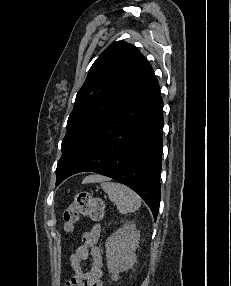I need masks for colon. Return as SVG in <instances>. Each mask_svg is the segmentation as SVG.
Instances as JSON below:
<instances>
[{
	"label": "colon",
	"instance_id": "colon-1",
	"mask_svg": "<svg viewBox=\"0 0 231 286\" xmlns=\"http://www.w3.org/2000/svg\"><path fill=\"white\" fill-rule=\"evenodd\" d=\"M104 212V204L101 199L88 192H80L63 211L64 227L67 231H72L81 217L100 220L104 216Z\"/></svg>",
	"mask_w": 231,
	"mask_h": 286
}]
</instances>
